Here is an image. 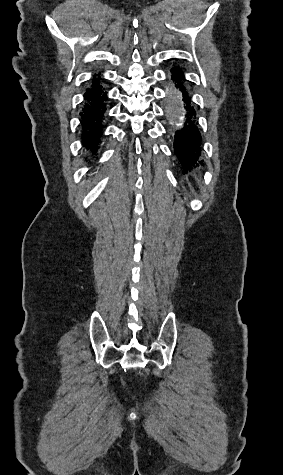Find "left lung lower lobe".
I'll list each match as a JSON object with an SVG mask.
<instances>
[{"mask_svg": "<svg viewBox=\"0 0 283 475\" xmlns=\"http://www.w3.org/2000/svg\"><path fill=\"white\" fill-rule=\"evenodd\" d=\"M172 79L178 82L185 103L186 120L184 127L175 133L174 151L178 156L182 166L189 169L194 165H199V160L203 157L202 136L198 126L197 115L192 106L191 97L186 87L182 70L176 66L171 69ZM203 160L200 161L202 163Z\"/></svg>", "mask_w": 283, "mask_h": 475, "instance_id": "0a47b994", "label": "left lung lower lobe"}]
</instances>
